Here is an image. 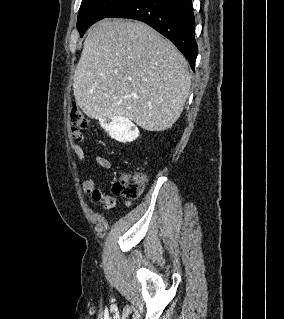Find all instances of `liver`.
<instances>
[{"instance_id":"1","label":"liver","mask_w":284,"mask_h":319,"mask_svg":"<svg viewBox=\"0 0 284 319\" xmlns=\"http://www.w3.org/2000/svg\"><path fill=\"white\" fill-rule=\"evenodd\" d=\"M190 86L187 61L170 41L145 23L121 19L90 30L73 79L88 117H124L148 131L172 127Z\"/></svg>"}]
</instances>
